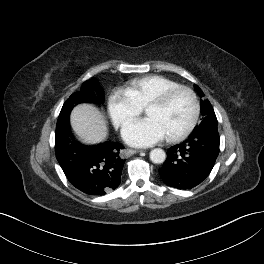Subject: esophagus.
I'll return each instance as SVG.
<instances>
[{
  "label": "esophagus",
  "mask_w": 264,
  "mask_h": 264,
  "mask_svg": "<svg viewBox=\"0 0 264 264\" xmlns=\"http://www.w3.org/2000/svg\"><path fill=\"white\" fill-rule=\"evenodd\" d=\"M140 152H141V150H134V149H128V150H127V153H128L129 155L137 154V153H140Z\"/></svg>",
  "instance_id": "obj_1"
}]
</instances>
